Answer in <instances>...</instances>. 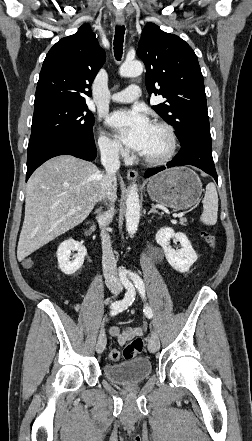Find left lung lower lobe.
Returning <instances> with one entry per match:
<instances>
[{
  "instance_id": "obj_1",
  "label": "left lung lower lobe",
  "mask_w": 252,
  "mask_h": 441,
  "mask_svg": "<svg viewBox=\"0 0 252 441\" xmlns=\"http://www.w3.org/2000/svg\"><path fill=\"white\" fill-rule=\"evenodd\" d=\"M178 154L166 166L151 168L146 171L145 177L152 176L166 168L193 165L211 175L217 182L218 177L212 158V143L209 134H193L181 144Z\"/></svg>"
}]
</instances>
